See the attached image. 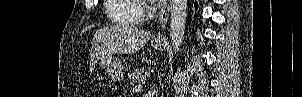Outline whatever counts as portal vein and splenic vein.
Wrapping results in <instances>:
<instances>
[{
    "label": "portal vein and splenic vein",
    "mask_w": 302,
    "mask_h": 97,
    "mask_svg": "<svg viewBox=\"0 0 302 97\" xmlns=\"http://www.w3.org/2000/svg\"><path fill=\"white\" fill-rule=\"evenodd\" d=\"M134 90L137 91V90H139V88H135Z\"/></svg>",
    "instance_id": "obj_1"
}]
</instances>
